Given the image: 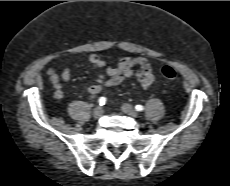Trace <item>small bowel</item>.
<instances>
[{
    "label": "small bowel",
    "instance_id": "c3829d8e",
    "mask_svg": "<svg viewBox=\"0 0 230 186\" xmlns=\"http://www.w3.org/2000/svg\"><path fill=\"white\" fill-rule=\"evenodd\" d=\"M89 62L98 71L95 82L85 89L89 95H97L103 90L117 86L131 78H136L145 90L150 89L155 83L152 67L149 61L143 57H123L116 66H109L98 54H91ZM71 75L72 69L66 67L62 70L60 77L56 75L52 76L56 99H63L62 82H68Z\"/></svg>",
    "mask_w": 230,
    "mask_h": 186
}]
</instances>
